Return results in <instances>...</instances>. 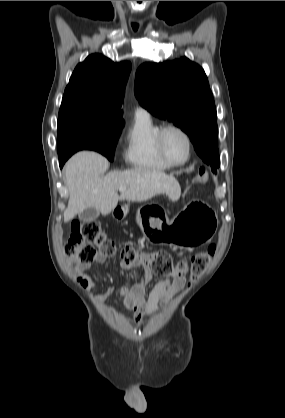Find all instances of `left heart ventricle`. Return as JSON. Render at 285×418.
<instances>
[{"mask_svg":"<svg viewBox=\"0 0 285 418\" xmlns=\"http://www.w3.org/2000/svg\"><path fill=\"white\" fill-rule=\"evenodd\" d=\"M163 144L168 157L173 162H181L187 153V144L183 136L174 130L168 131L163 139Z\"/></svg>","mask_w":285,"mask_h":418,"instance_id":"obj_1","label":"left heart ventricle"}]
</instances>
